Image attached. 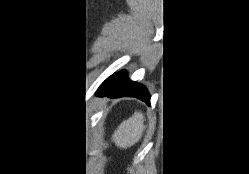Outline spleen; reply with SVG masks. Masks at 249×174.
<instances>
[{
  "label": "spleen",
  "mask_w": 249,
  "mask_h": 174,
  "mask_svg": "<svg viewBox=\"0 0 249 174\" xmlns=\"http://www.w3.org/2000/svg\"><path fill=\"white\" fill-rule=\"evenodd\" d=\"M144 116L135 112L129 119L124 120L114 131L113 141L115 145L122 149H127L137 143L144 130Z\"/></svg>",
  "instance_id": "obj_1"
}]
</instances>
